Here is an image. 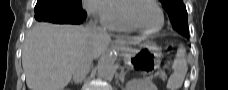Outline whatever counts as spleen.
Returning a JSON list of instances; mask_svg holds the SVG:
<instances>
[{"instance_id": "obj_1", "label": "spleen", "mask_w": 228, "mask_h": 90, "mask_svg": "<svg viewBox=\"0 0 228 90\" xmlns=\"http://www.w3.org/2000/svg\"><path fill=\"white\" fill-rule=\"evenodd\" d=\"M173 74L169 77L167 88L169 90H178L185 79L188 66L185 58V49L179 48L173 61Z\"/></svg>"}]
</instances>
